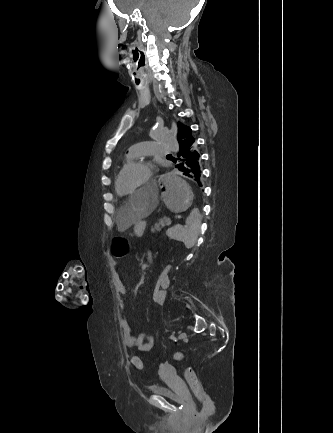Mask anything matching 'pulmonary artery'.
Listing matches in <instances>:
<instances>
[{"label": "pulmonary artery", "instance_id": "e3ab8cb5", "mask_svg": "<svg viewBox=\"0 0 333 433\" xmlns=\"http://www.w3.org/2000/svg\"><path fill=\"white\" fill-rule=\"evenodd\" d=\"M171 151L172 149L168 145L161 144L154 141L136 143L129 148V153L133 157L146 156V155L165 156Z\"/></svg>", "mask_w": 333, "mask_h": 433}]
</instances>
